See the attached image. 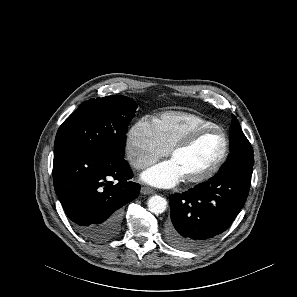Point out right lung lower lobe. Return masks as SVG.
Returning <instances> with one entry per match:
<instances>
[{
  "label": "right lung lower lobe",
  "mask_w": 297,
  "mask_h": 297,
  "mask_svg": "<svg viewBox=\"0 0 297 297\" xmlns=\"http://www.w3.org/2000/svg\"><path fill=\"white\" fill-rule=\"evenodd\" d=\"M132 176L124 158L86 148L54 151L55 192L79 234L95 242L119 233L122 207L140 191Z\"/></svg>",
  "instance_id": "right-lung-lower-lobe-1"
}]
</instances>
